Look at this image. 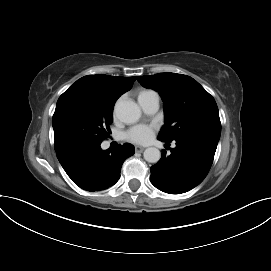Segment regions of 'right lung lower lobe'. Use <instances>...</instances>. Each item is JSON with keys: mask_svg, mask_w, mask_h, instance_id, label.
I'll use <instances>...</instances> for the list:
<instances>
[{"mask_svg": "<svg viewBox=\"0 0 271 271\" xmlns=\"http://www.w3.org/2000/svg\"><path fill=\"white\" fill-rule=\"evenodd\" d=\"M134 152L128 143L114 150H102L98 144L68 152L59 161L76 185L93 192L114 185L120 178L123 162Z\"/></svg>", "mask_w": 271, "mask_h": 271, "instance_id": "1", "label": "right lung lower lobe"}]
</instances>
